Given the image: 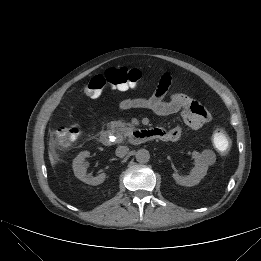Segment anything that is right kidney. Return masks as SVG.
<instances>
[{
    "label": "right kidney",
    "mask_w": 261,
    "mask_h": 261,
    "mask_svg": "<svg viewBox=\"0 0 261 261\" xmlns=\"http://www.w3.org/2000/svg\"><path fill=\"white\" fill-rule=\"evenodd\" d=\"M90 153L88 151L80 152L73 160V171L75 176L89 185H99L102 184L106 179V173H101L96 177H92L86 174L87 166L84 164L85 158L89 157Z\"/></svg>",
    "instance_id": "ca27d5eb"
}]
</instances>
